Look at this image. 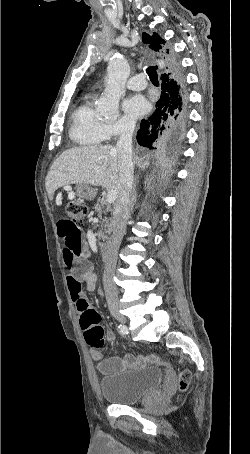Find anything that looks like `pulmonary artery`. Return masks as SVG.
I'll use <instances>...</instances> for the list:
<instances>
[{
  "label": "pulmonary artery",
  "instance_id": "obj_1",
  "mask_svg": "<svg viewBox=\"0 0 250 454\" xmlns=\"http://www.w3.org/2000/svg\"><path fill=\"white\" fill-rule=\"evenodd\" d=\"M147 86V82L143 75L139 74L131 77L126 84L129 90L139 91L143 90Z\"/></svg>",
  "mask_w": 250,
  "mask_h": 454
}]
</instances>
